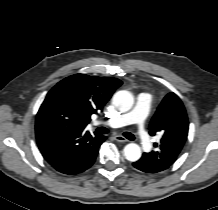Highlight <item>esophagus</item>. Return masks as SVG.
<instances>
[{"instance_id":"obj_1","label":"esophagus","mask_w":218,"mask_h":210,"mask_svg":"<svg viewBox=\"0 0 218 210\" xmlns=\"http://www.w3.org/2000/svg\"><path fill=\"white\" fill-rule=\"evenodd\" d=\"M114 139H115L117 142H120V143H126V142L128 141L125 137H123V136H121V135H115V136H114Z\"/></svg>"}]
</instances>
